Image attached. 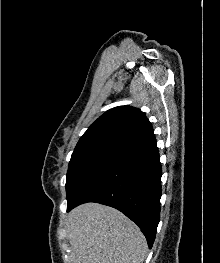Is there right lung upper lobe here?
Returning a JSON list of instances; mask_svg holds the SVG:
<instances>
[{
	"instance_id": "obj_1",
	"label": "right lung upper lobe",
	"mask_w": 220,
	"mask_h": 263,
	"mask_svg": "<svg viewBox=\"0 0 220 263\" xmlns=\"http://www.w3.org/2000/svg\"><path fill=\"white\" fill-rule=\"evenodd\" d=\"M154 137L151 123L138 108L119 106L100 116L83 134L74 151H121Z\"/></svg>"
}]
</instances>
